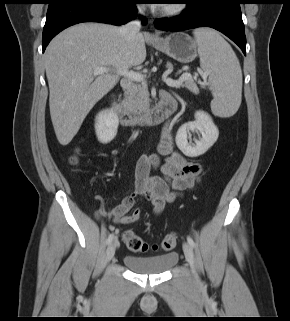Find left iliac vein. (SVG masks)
<instances>
[{
	"label": "left iliac vein",
	"instance_id": "1",
	"mask_svg": "<svg viewBox=\"0 0 290 321\" xmlns=\"http://www.w3.org/2000/svg\"><path fill=\"white\" fill-rule=\"evenodd\" d=\"M183 250H184V254H185L186 260L188 261V263H189V265L191 267V271H192V274H193V277H194L195 281L197 283H201L199 275H198L197 270H196L195 258H194V253H193V249H192L191 245L189 243H187V242H184L183 243Z\"/></svg>",
	"mask_w": 290,
	"mask_h": 321
}]
</instances>
